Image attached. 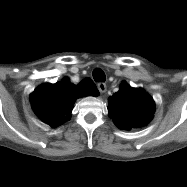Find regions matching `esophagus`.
I'll return each mask as SVG.
<instances>
[{
  "label": "esophagus",
  "instance_id": "obj_1",
  "mask_svg": "<svg viewBox=\"0 0 187 187\" xmlns=\"http://www.w3.org/2000/svg\"><path fill=\"white\" fill-rule=\"evenodd\" d=\"M97 87L100 93H104L106 91V84L103 82H99Z\"/></svg>",
  "mask_w": 187,
  "mask_h": 187
}]
</instances>
